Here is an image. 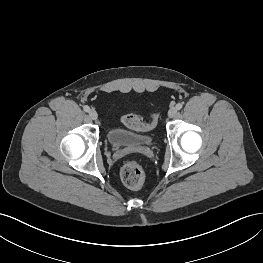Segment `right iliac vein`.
Segmentation results:
<instances>
[{
    "label": "right iliac vein",
    "mask_w": 263,
    "mask_h": 263,
    "mask_svg": "<svg viewBox=\"0 0 263 263\" xmlns=\"http://www.w3.org/2000/svg\"><path fill=\"white\" fill-rule=\"evenodd\" d=\"M89 117L92 119V120H96L98 118V114L95 110H90L89 111Z\"/></svg>",
    "instance_id": "right-iliac-vein-1"
}]
</instances>
